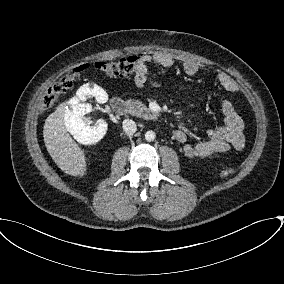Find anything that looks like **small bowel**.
Masks as SVG:
<instances>
[{"mask_svg":"<svg viewBox=\"0 0 284 284\" xmlns=\"http://www.w3.org/2000/svg\"><path fill=\"white\" fill-rule=\"evenodd\" d=\"M140 64L137 67L134 77L135 85L139 88L143 87L148 81V64L156 63L161 67H171L174 64V58L165 52H155L147 54L140 58ZM183 71L193 76L198 73L200 66L197 62L187 60L182 63ZM218 81L220 85L229 93L238 91V87L234 80L227 74H219ZM154 85L158 82L151 81ZM221 111L224 118L222 126L210 128L207 131V137L194 144H185L184 153L189 158H208L213 155L225 153L230 149L241 150L245 145L243 135V120L238 114L233 104L225 99L221 103ZM174 137L180 143H185L187 136L183 131H175Z\"/></svg>","mask_w":284,"mask_h":284,"instance_id":"obj_1","label":"small bowel"}]
</instances>
